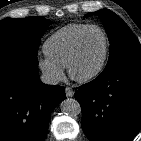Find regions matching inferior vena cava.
<instances>
[{
    "instance_id": "inferior-vena-cava-1",
    "label": "inferior vena cava",
    "mask_w": 141,
    "mask_h": 141,
    "mask_svg": "<svg viewBox=\"0 0 141 141\" xmlns=\"http://www.w3.org/2000/svg\"><path fill=\"white\" fill-rule=\"evenodd\" d=\"M40 79L44 84L48 85H57L59 83V78L56 75L48 72L43 73Z\"/></svg>"
}]
</instances>
